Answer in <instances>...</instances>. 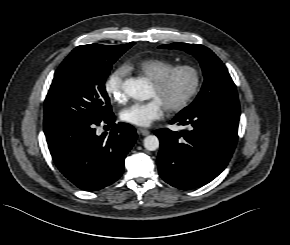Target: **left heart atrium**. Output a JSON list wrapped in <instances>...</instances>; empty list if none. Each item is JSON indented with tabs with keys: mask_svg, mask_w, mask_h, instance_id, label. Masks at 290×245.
Returning <instances> with one entry per match:
<instances>
[{
	"mask_svg": "<svg viewBox=\"0 0 290 245\" xmlns=\"http://www.w3.org/2000/svg\"><path fill=\"white\" fill-rule=\"evenodd\" d=\"M166 107L158 98H152L146 102H136L121 112L123 121L140 126L148 127L153 122L163 118Z\"/></svg>",
	"mask_w": 290,
	"mask_h": 245,
	"instance_id": "left-heart-atrium-1",
	"label": "left heart atrium"
}]
</instances>
